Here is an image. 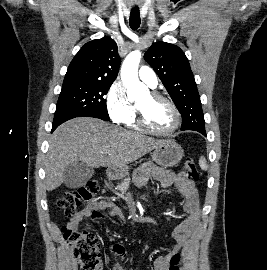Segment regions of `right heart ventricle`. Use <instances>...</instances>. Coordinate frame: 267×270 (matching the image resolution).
<instances>
[{
    "instance_id": "1",
    "label": "right heart ventricle",
    "mask_w": 267,
    "mask_h": 270,
    "mask_svg": "<svg viewBox=\"0 0 267 270\" xmlns=\"http://www.w3.org/2000/svg\"><path fill=\"white\" fill-rule=\"evenodd\" d=\"M130 128H132V129H135V130H139L140 129V127H139V125L137 124V122H136V120H135V117L132 119V120H130L128 123H126Z\"/></svg>"
}]
</instances>
